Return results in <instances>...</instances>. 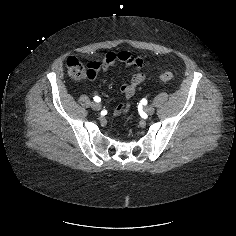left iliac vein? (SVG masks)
<instances>
[{
    "label": "left iliac vein",
    "instance_id": "left-iliac-vein-1",
    "mask_svg": "<svg viewBox=\"0 0 236 236\" xmlns=\"http://www.w3.org/2000/svg\"><path fill=\"white\" fill-rule=\"evenodd\" d=\"M144 110L148 115H152L155 111V108L152 105H147L145 106Z\"/></svg>",
    "mask_w": 236,
    "mask_h": 236
}]
</instances>
